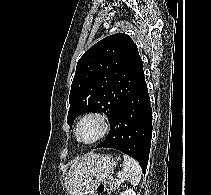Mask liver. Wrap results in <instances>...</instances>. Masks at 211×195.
<instances>
[{
    "mask_svg": "<svg viewBox=\"0 0 211 195\" xmlns=\"http://www.w3.org/2000/svg\"><path fill=\"white\" fill-rule=\"evenodd\" d=\"M96 156L94 154H88L71 162L67 180L70 195H80L84 184V177L87 173V165Z\"/></svg>",
    "mask_w": 211,
    "mask_h": 195,
    "instance_id": "6515ba94",
    "label": "liver"
}]
</instances>
